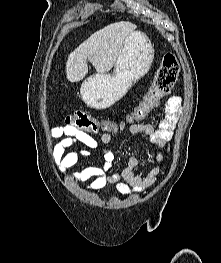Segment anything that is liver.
Instances as JSON below:
<instances>
[{
    "instance_id": "1",
    "label": "liver",
    "mask_w": 221,
    "mask_h": 263,
    "mask_svg": "<svg viewBox=\"0 0 221 263\" xmlns=\"http://www.w3.org/2000/svg\"><path fill=\"white\" fill-rule=\"evenodd\" d=\"M136 25L120 21L93 33L68 56L66 76L70 82L82 80L88 73V61L98 73L108 72L115 64L126 37Z\"/></svg>"
}]
</instances>
